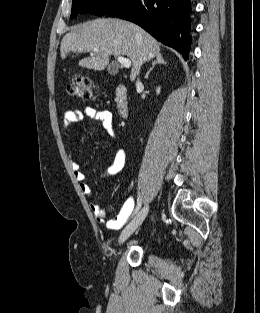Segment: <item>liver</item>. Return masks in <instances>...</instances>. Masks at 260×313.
<instances>
[{"instance_id": "liver-1", "label": "liver", "mask_w": 260, "mask_h": 313, "mask_svg": "<svg viewBox=\"0 0 260 313\" xmlns=\"http://www.w3.org/2000/svg\"><path fill=\"white\" fill-rule=\"evenodd\" d=\"M96 48L97 51H93ZM61 58L67 54L90 52L79 66L101 71L109 65L112 55L127 56L132 62L131 78L143 63L160 53V44L141 27L121 19L99 18L74 27L60 45Z\"/></svg>"}]
</instances>
